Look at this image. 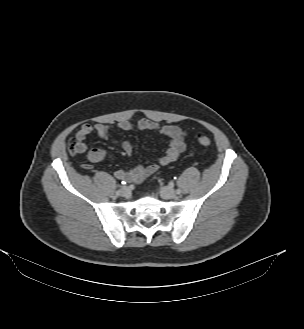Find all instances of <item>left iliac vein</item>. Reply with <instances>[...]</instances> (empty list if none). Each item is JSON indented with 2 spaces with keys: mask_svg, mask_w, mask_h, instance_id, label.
<instances>
[{
  "mask_svg": "<svg viewBox=\"0 0 304 329\" xmlns=\"http://www.w3.org/2000/svg\"><path fill=\"white\" fill-rule=\"evenodd\" d=\"M160 195L164 199H174L177 197V192L167 186H163L160 188Z\"/></svg>",
  "mask_w": 304,
  "mask_h": 329,
  "instance_id": "left-iliac-vein-1",
  "label": "left iliac vein"
}]
</instances>
